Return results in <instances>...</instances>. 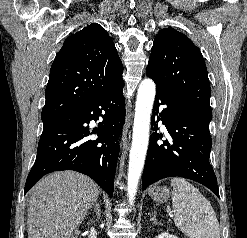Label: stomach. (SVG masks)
Here are the masks:
<instances>
[{
	"instance_id": "obj_1",
	"label": "stomach",
	"mask_w": 247,
	"mask_h": 238,
	"mask_svg": "<svg viewBox=\"0 0 247 238\" xmlns=\"http://www.w3.org/2000/svg\"><path fill=\"white\" fill-rule=\"evenodd\" d=\"M150 197L157 202H165L170 196V191L165 186H154L150 192Z\"/></svg>"
}]
</instances>
